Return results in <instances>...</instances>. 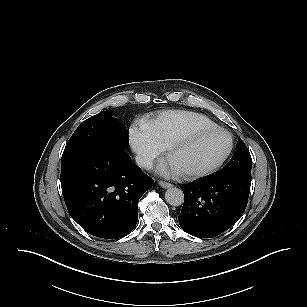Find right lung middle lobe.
Masks as SVG:
<instances>
[{
	"label": "right lung middle lobe",
	"instance_id": "1",
	"mask_svg": "<svg viewBox=\"0 0 307 307\" xmlns=\"http://www.w3.org/2000/svg\"><path fill=\"white\" fill-rule=\"evenodd\" d=\"M128 143L126 127L112 117V112L102 111L78 126L66 144L62 161L73 158L91 148L107 145L124 149Z\"/></svg>",
	"mask_w": 307,
	"mask_h": 307
}]
</instances>
